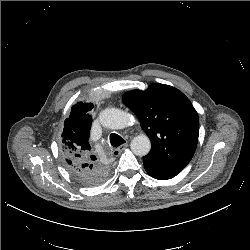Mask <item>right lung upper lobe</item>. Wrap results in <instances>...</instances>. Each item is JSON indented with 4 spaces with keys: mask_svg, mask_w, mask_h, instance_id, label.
Wrapping results in <instances>:
<instances>
[{
    "mask_svg": "<svg viewBox=\"0 0 250 250\" xmlns=\"http://www.w3.org/2000/svg\"><path fill=\"white\" fill-rule=\"evenodd\" d=\"M93 108L92 103L78 102L73 105L69 117L64 122L61 150L65 164L75 170L108 171L107 163L92 155L89 144V133L92 118L88 114Z\"/></svg>",
    "mask_w": 250,
    "mask_h": 250,
    "instance_id": "obj_1",
    "label": "right lung upper lobe"
}]
</instances>
